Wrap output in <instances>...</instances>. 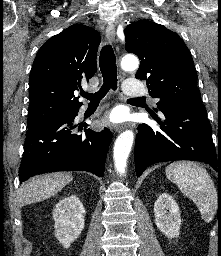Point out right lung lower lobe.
<instances>
[{
  "instance_id": "98d812e1",
  "label": "right lung lower lobe",
  "mask_w": 221,
  "mask_h": 256,
  "mask_svg": "<svg viewBox=\"0 0 221 256\" xmlns=\"http://www.w3.org/2000/svg\"><path fill=\"white\" fill-rule=\"evenodd\" d=\"M77 112L28 128L19 169L21 183L34 175L55 171H88L103 177L112 134L107 128L101 132L86 129L85 134L73 133Z\"/></svg>"
}]
</instances>
